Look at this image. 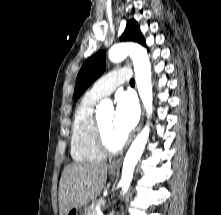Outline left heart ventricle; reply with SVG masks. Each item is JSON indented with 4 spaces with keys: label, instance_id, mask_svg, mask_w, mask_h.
I'll use <instances>...</instances> for the list:
<instances>
[{
    "label": "left heart ventricle",
    "instance_id": "obj_1",
    "mask_svg": "<svg viewBox=\"0 0 221 215\" xmlns=\"http://www.w3.org/2000/svg\"><path fill=\"white\" fill-rule=\"evenodd\" d=\"M113 118H114V115L112 112H110V113L101 115L99 117V120L109 143H111L112 145H116L123 138H121L115 133L114 128H113Z\"/></svg>",
    "mask_w": 221,
    "mask_h": 215
}]
</instances>
